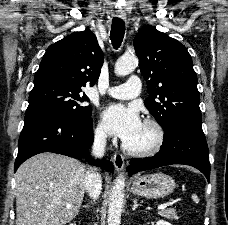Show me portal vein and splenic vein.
Listing matches in <instances>:
<instances>
[{
    "label": "portal vein and splenic vein",
    "instance_id": "obj_1",
    "mask_svg": "<svg viewBox=\"0 0 228 225\" xmlns=\"http://www.w3.org/2000/svg\"><path fill=\"white\" fill-rule=\"evenodd\" d=\"M166 204H158V209H167L169 207H175L176 205H180V199L178 197H174L173 200H166ZM66 207H71V205H66Z\"/></svg>",
    "mask_w": 228,
    "mask_h": 225
}]
</instances>
